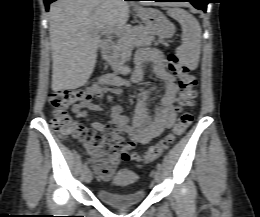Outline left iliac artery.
<instances>
[{
    "mask_svg": "<svg viewBox=\"0 0 260 217\" xmlns=\"http://www.w3.org/2000/svg\"><path fill=\"white\" fill-rule=\"evenodd\" d=\"M156 167L158 170H162V165L160 163H158Z\"/></svg>",
    "mask_w": 260,
    "mask_h": 217,
    "instance_id": "left-iliac-artery-1",
    "label": "left iliac artery"
}]
</instances>
